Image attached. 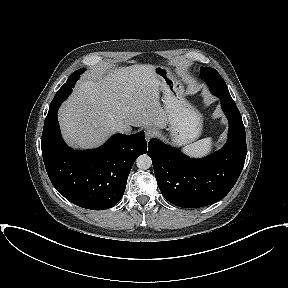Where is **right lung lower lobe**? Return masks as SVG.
Instances as JSON below:
<instances>
[{
  "label": "right lung lower lobe",
  "instance_id": "1",
  "mask_svg": "<svg viewBox=\"0 0 288 288\" xmlns=\"http://www.w3.org/2000/svg\"><path fill=\"white\" fill-rule=\"evenodd\" d=\"M49 107L41 149L47 174L56 190L73 204L105 210L122 198L130 170L139 155L147 152L144 132L116 134L103 146L73 151L63 141L57 110Z\"/></svg>",
  "mask_w": 288,
  "mask_h": 288
}]
</instances>
